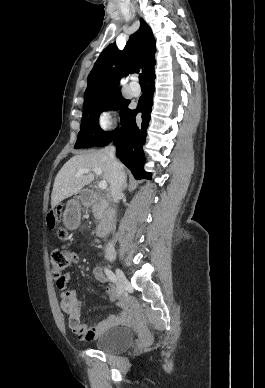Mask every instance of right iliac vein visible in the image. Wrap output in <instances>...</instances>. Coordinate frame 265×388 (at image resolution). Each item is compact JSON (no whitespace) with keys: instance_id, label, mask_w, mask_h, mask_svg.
Wrapping results in <instances>:
<instances>
[{"instance_id":"right-iliac-vein-1","label":"right iliac vein","mask_w":265,"mask_h":388,"mask_svg":"<svg viewBox=\"0 0 265 388\" xmlns=\"http://www.w3.org/2000/svg\"><path fill=\"white\" fill-rule=\"evenodd\" d=\"M109 260L111 262H113V258H109ZM115 272H116V276H117L118 295H121L123 293L126 285L128 284V281H127L125 275L123 274V272L119 268H116Z\"/></svg>"}]
</instances>
